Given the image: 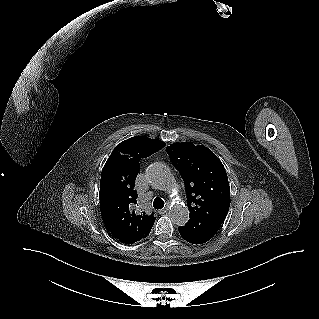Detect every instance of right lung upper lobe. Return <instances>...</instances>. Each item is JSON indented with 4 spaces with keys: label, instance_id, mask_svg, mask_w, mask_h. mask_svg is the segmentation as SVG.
Here are the masks:
<instances>
[{
    "label": "right lung upper lobe",
    "instance_id": "right-lung-upper-lobe-1",
    "mask_svg": "<svg viewBox=\"0 0 319 319\" xmlns=\"http://www.w3.org/2000/svg\"><path fill=\"white\" fill-rule=\"evenodd\" d=\"M165 143L145 136H136L119 143L106 161L100 181V210L102 218L120 242L133 244L151 231L153 215L134 211L137 193L134 180L141 158L159 151Z\"/></svg>",
    "mask_w": 319,
    "mask_h": 319
}]
</instances>
